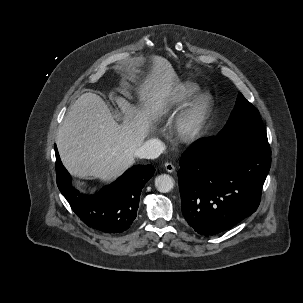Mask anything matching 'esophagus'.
<instances>
[{
    "label": "esophagus",
    "instance_id": "esophagus-1",
    "mask_svg": "<svg viewBox=\"0 0 303 303\" xmlns=\"http://www.w3.org/2000/svg\"><path fill=\"white\" fill-rule=\"evenodd\" d=\"M167 172L172 173L175 171V166L172 163H165L164 165Z\"/></svg>",
    "mask_w": 303,
    "mask_h": 303
}]
</instances>
